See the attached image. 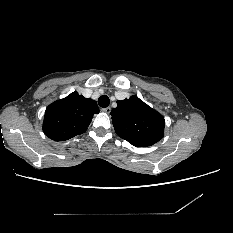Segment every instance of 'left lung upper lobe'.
Segmentation results:
<instances>
[{
	"instance_id": "obj_1",
	"label": "left lung upper lobe",
	"mask_w": 233,
	"mask_h": 233,
	"mask_svg": "<svg viewBox=\"0 0 233 233\" xmlns=\"http://www.w3.org/2000/svg\"><path fill=\"white\" fill-rule=\"evenodd\" d=\"M110 114L117 135L136 147L151 146L164 135V117L137 96L117 101Z\"/></svg>"
}]
</instances>
